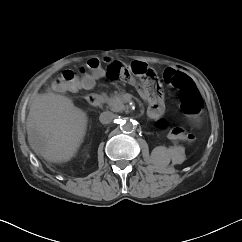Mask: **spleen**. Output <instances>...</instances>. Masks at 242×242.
<instances>
[{
	"mask_svg": "<svg viewBox=\"0 0 242 242\" xmlns=\"http://www.w3.org/2000/svg\"><path fill=\"white\" fill-rule=\"evenodd\" d=\"M180 148H172V149H170V151H169V154H170V157L171 158H173V160H174V157L176 156V150H179Z\"/></svg>",
	"mask_w": 242,
	"mask_h": 242,
	"instance_id": "1",
	"label": "spleen"
}]
</instances>
